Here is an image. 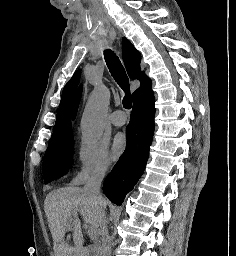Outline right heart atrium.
<instances>
[{
    "mask_svg": "<svg viewBox=\"0 0 236 256\" xmlns=\"http://www.w3.org/2000/svg\"><path fill=\"white\" fill-rule=\"evenodd\" d=\"M110 158L104 145L81 143L75 155V170L70 183L82 185L102 180L110 169Z\"/></svg>",
    "mask_w": 236,
    "mask_h": 256,
    "instance_id": "obj_1",
    "label": "right heart atrium"
}]
</instances>
